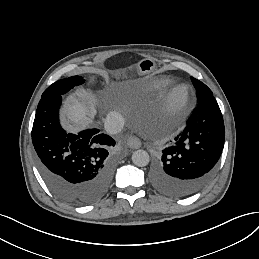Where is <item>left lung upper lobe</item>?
<instances>
[{
  "mask_svg": "<svg viewBox=\"0 0 259 259\" xmlns=\"http://www.w3.org/2000/svg\"><path fill=\"white\" fill-rule=\"evenodd\" d=\"M191 80L196 88L198 97L205 94H212V91L204 83L193 77H191Z\"/></svg>",
  "mask_w": 259,
  "mask_h": 259,
  "instance_id": "left-lung-upper-lobe-1",
  "label": "left lung upper lobe"
}]
</instances>
